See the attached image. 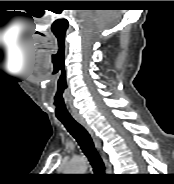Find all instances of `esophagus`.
I'll return each mask as SVG.
<instances>
[{"instance_id": "34e87169", "label": "esophagus", "mask_w": 174, "mask_h": 184, "mask_svg": "<svg viewBox=\"0 0 174 184\" xmlns=\"http://www.w3.org/2000/svg\"><path fill=\"white\" fill-rule=\"evenodd\" d=\"M75 120H76L78 123H80V124L88 131V133H89L90 136L92 137V139H93V141H94L96 147H97L98 150L101 152L102 157L105 158V157H104V154H103L102 151H101V142H100V140L98 139V137L96 136L94 130H93V129L90 127V125L87 123V121H86L83 117H81V116H76V117H75Z\"/></svg>"}]
</instances>
